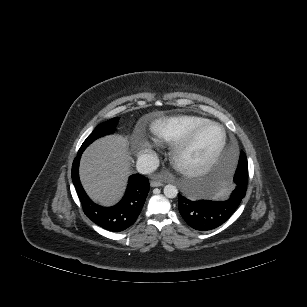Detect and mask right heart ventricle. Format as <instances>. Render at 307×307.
Returning <instances> with one entry per match:
<instances>
[{"label":"right heart ventricle","instance_id":"obj_1","mask_svg":"<svg viewBox=\"0 0 307 307\" xmlns=\"http://www.w3.org/2000/svg\"><path fill=\"white\" fill-rule=\"evenodd\" d=\"M209 120L195 115H179L160 120L153 128V135L159 143L176 144L194 128Z\"/></svg>","mask_w":307,"mask_h":307}]
</instances>
